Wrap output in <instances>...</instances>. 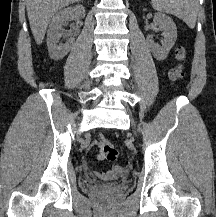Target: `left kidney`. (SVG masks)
Listing matches in <instances>:
<instances>
[{
	"label": "left kidney",
	"instance_id": "left-kidney-1",
	"mask_svg": "<svg viewBox=\"0 0 216 217\" xmlns=\"http://www.w3.org/2000/svg\"><path fill=\"white\" fill-rule=\"evenodd\" d=\"M154 23L163 31L164 39L162 45L156 44L151 37H147V44L153 54V56L161 61L164 60L169 51L174 46L177 39V28L173 20L162 13H155Z\"/></svg>",
	"mask_w": 216,
	"mask_h": 217
}]
</instances>
